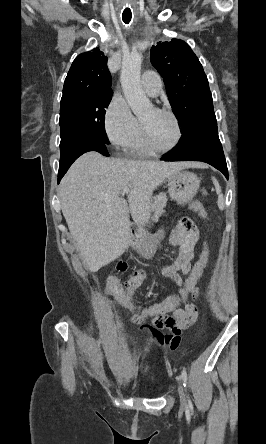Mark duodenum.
<instances>
[{"label":"duodenum","mask_w":266,"mask_h":444,"mask_svg":"<svg viewBox=\"0 0 266 444\" xmlns=\"http://www.w3.org/2000/svg\"><path fill=\"white\" fill-rule=\"evenodd\" d=\"M137 237H138V235H137V232L135 231V232L133 233V238H134V240H136Z\"/></svg>","instance_id":"obj_1"}]
</instances>
